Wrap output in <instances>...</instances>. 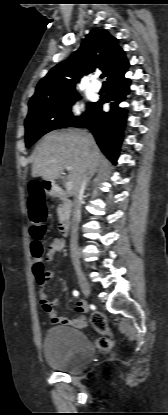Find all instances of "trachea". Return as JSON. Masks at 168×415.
<instances>
[{
	"label": "trachea",
	"instance_id": "obj_1",
	"mask_svg": "<svg viewBox=\"0 0 168 415\" xmlns=\"http://www.w3.org/2000/svg\"><path fill=\"white\" fill-rule=\"evenodd\" d=\"M101 78H104V75H101Z\"/></svg>",
	"mask_w": 168,
	"mask_h": 415
}]
</instances>
